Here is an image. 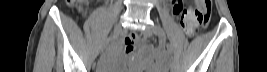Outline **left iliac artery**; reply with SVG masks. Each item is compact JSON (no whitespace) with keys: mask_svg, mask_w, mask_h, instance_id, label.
Returning a JSON list of instances; mask_svg holds the SVG:
<instances>
[{"mask_svg":"<svg viewBox=\"0 0 267 72\" xmlns=\"http://www.w3.org/2000/svg\"><path fill=\"white\" fill-rule=\"evenodd\" d=\"M155 33L162 39L163 41V53L169 63L172 64L173 58L171 55V49L169 44L166 42L165 33L160 25H155Z\"/></svg>","mask_w":267,"mask_h":72,"instance_id":"left-iliac-artery-1","label":"left iliac artery"}]
</instances>
